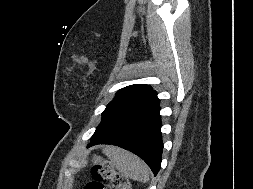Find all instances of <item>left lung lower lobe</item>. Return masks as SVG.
<instances>
[{
    "mask_svg": "<svg viewBox=\"0 0 253 189\" xmlns=\"http://www.w3.org/2000/svg\"><path fill=\"white\" fill-rule=\"evenodd\" d=\"M159 104L99 136H93L88 147L97 144H114L141 157L157 175L161 167L163 149L160 133Z\"/></svg>",
    "mask_w": 253,
    "mask_h": 189,
    "instance_id": "0a47b994",
    "label": "left lung lower lobe"
}]
</instances>
